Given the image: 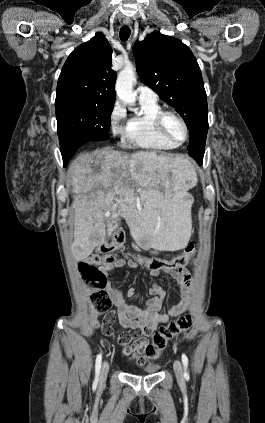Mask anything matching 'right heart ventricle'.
Returning <instances> with one entry per match:
<instances>
[{"label": "right heart ventricle", "mask_w": 265, "mask_h": 423, "mask_svg": "<svg viewBox=\"0 0 265 423\" xmlns=\"http://www.w3.org/2000/svg\"><path fill=\"white\" fill-rule=\"evenodd\" d=\"M140 112L127 122L123 132V141L131 146L150 151H171L178 145L164 139L155 127V118L162 107L156 101H141Z\"/></svg>", "instance_id": "obj_1"}]
</instances>
